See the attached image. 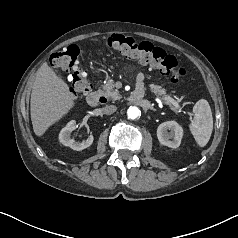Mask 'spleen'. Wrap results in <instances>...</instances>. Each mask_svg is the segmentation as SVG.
<instances>
[{
  "mask_svg": "<svg viewBox=\"0 0 238 238\" xmlns=\"http://www.w3.org/2000/svg\"><path fill=\"white\" fill-rule=\"evenodd\" d=\"M194 118L189 124V129L200 147H204L212 134L213 117L207 100L200 99L193 107Z\"/></svg>",
  "mask_w": 238,
  "mask_h": 238,
  "instance_id": "obj_1",
  "label": "spleen"
}]
</instances>
